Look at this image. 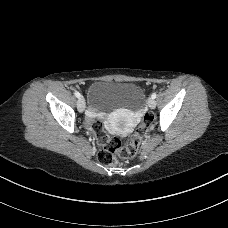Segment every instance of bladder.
I'll return each mask as SVG.
<instances>
[{"label": "bladder", "mask_w": 228, "mask_h": 228, "mask_svg": "<svg viewBox=\"0 0 228 228\" xmlns=\"http://www.w3.org/2000/svg\"><path fill=\"white\" fill-rule=\"evenodd\" d=\"M88 98L89 110L96 114L119 108L138 110L144 103L145 94L133 83L97 81L89 87Z\"/></svg>", "instance_id": "31cf9c89"}]
</instances>
